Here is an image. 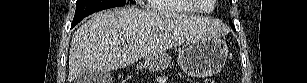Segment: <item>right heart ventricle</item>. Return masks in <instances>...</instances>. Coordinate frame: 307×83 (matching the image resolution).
I'll use <instances>...</instances> for the list:
<instances>
[{
  "label": "right heart ventricle",
  "mask_w": 307,
  "mask_h": 83,
  "mask_svg": "<svg viewBox=\"0 0 307 83\" xmlns=\"http://www.w3.org/2000/svg\"><path fill=\"white\" fill-rule=\"evenodd\" d=\"M150 8L165 15L196 11L194 6L186 0H151Z\"/></svg>",
  "instance_id": "obj_1"
}]
</instances>
